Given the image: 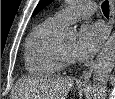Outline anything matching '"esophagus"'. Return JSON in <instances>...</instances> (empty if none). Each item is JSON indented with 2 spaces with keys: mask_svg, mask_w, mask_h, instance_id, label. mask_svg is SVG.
<instances>
[{
  "mask_svg": "<svg viewBox=\"0 0 115 99\" xmlns=\"http://www.w3.org/2000/svg\"><path fill=\"white\" fill-rule=\"evenodd\" d=\"M110 4V17L107 23V37L110 35L111 30L113 28L114 24V18H115V2L114 0H109ZM94 69V64L89 68L88 71L84 72L83 75L79 78L78 82L80 84H88L90 77L92 75Z\"/></svg>",
  "mask_w": 115,
  "mask_h": 99,
  "instance_id": "34e87169",
  "label": "esophagus"
}]
</instances>
